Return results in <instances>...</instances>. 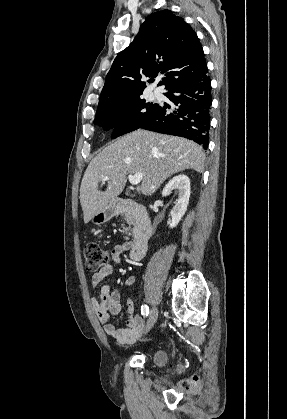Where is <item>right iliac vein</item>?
Returning <instances> with one entry per match:
<instances>
[{
	"label": "right iliac vein",
	"mask_w": 287,
	"mask_h": 419,
	"mask_svg": "<svg viewBox=\"0 0 287 419\" xmlns=\"http://www.w3.org/2000/svg\"><path fill=\"white\" fill-rule=\"evenodd\" d=\"M158 318V308L153 307L150 311L149 318L147 320L145 332H148L156 323Z\"/></svg>",
	"instance_id": "right-iliac-vein-1"
}]
</instances>
